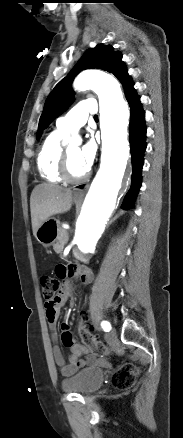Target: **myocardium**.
Masks as SVG:
<instances>
[{
	"label": "myocardium",
	"instance_id": "1",
	"mask_svg": "<svg viewBox=\"0 0 183 438\" xmlns=\"http://www.w3.org/2000/svg\"><path fill=\"white\" fill-rule=\"evenodd\" d=\"M58 171H59V175H60L61 179L64 182L71 183V184H78V183L84 182L90 176V169L87 170V172L83 176L78 177V178L72 177L70 175L67 149L62 150V153L60 156V161H59Z\"/></svg>",
	"mask_w": 183,
	"mask_h": 438
}]
</instances>
